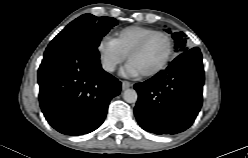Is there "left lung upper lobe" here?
Returning <instances> with one entry per match:
<instances>
[{
    "label": "left lung upper lobe",
    "mask_w": 248,
    "mask_h": 158,
    "mask_svg": "<svg viewBox=\"0 0 248 158\" xmlns=\"http://www.w3.org/2000/svg\"><path fill=\"white\" fill-rule=\"evenodd\" d=\"M167 32L170 33L169 30H166ZM185 34L182 32H176L172 34V37L175 41L176 44V48L179 49L180 52H185L188 50L187 46H186V38H185Z\"/></svg>",
    "instance_id": "5c2ea615"
}]
</instances>
